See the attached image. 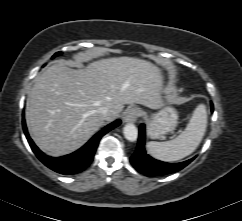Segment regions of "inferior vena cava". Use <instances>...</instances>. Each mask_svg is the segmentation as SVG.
<instances>
[{
  "label": "inferior vena cava",
  "instance_id": "obj_1",
  "mask_svg": "<svg viewBox=\"0 0 242 221\" xmlns=\"http://www.w3.org/2000/svg\"><path fill=\"white\" fill-rule=\"evenodd\" d=\"M99 112L102 114V116L104 117V119H108L109 116L111 115V111L109 110L108 107H101L99 109Z\"/></svg>",
  "mask_w": 242,
  "mask_h": 221
}]
</instances>
